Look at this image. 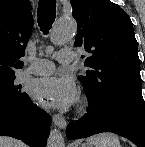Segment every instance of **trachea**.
<instances>
[{
    "mask_svg": "<svg viewBox=\"0 0 145 147\" xmlns=\"http://www.w3.org/2000/svg\"><path fill=\"white\" fill-rule=\"evenodd\" d=\"M37 14L41 31L47 34L56 17V0H40Z\"/></svg>",
    "mask_w": 145,
    "mask_h": 147,
    "instance_id": "trachea-1",
    "label": "trachea"
}]
</instances>
